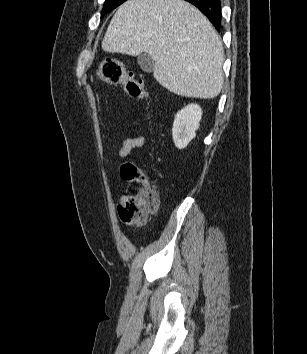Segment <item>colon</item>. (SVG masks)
Masks as SVG:
<instances>
[{"label": "colon", "instance_id": "obj_1", "mask_svg": "<svg viewBox=\"0 0 307 354\" xmlns=\"http://www.w3.org/2000/svg\"><path fill=\"white\" fill-rule=\"evenodd\" d=\"M97 75L107 84L125 85L127 92L135 98L147 97L143 79L127 71L123 64L115 58L102 59L97 69ZM121 176L125 181L139 184V187L120 197L119 217L126 224L142 223L158 206L156 190L150 183L147 174L132 163L122 166Z\"/></svg>", "mask_w": 307, "mask_h": 354}]
</instances>
